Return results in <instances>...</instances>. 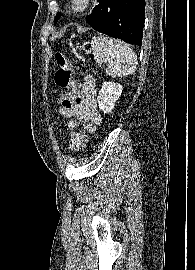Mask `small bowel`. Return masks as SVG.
Here are the masks:
<instances>
[{
    "instance_id": "obj_1",
    "label": "small bowel",
    "mask_w": 195,
    "mask_h": 270,
    "mask_svg": "<svg viewBox=\"0 0 195 270\" xmlns=\"http://www.w3.org/2000/svg\"><path fill=\"white\" fill-rule=\"evenodd\" d=\"M59 113L66 118L77 117L86 130H95L101 121V115L97 107L95 79L92 76L87 75L84 77L78 99L70 107L60 106ZM78 127L79 123L76 120H71L68 123L70 130L69 146L74 150L80 147L76 139Z\"/></svg>"
}]
</instances>
